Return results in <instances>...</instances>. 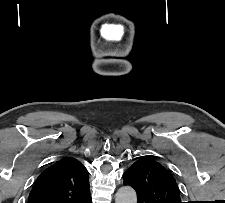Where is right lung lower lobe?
<instances>
[{"label": "right lung lower lobe", "instance_id": "98d812e1", "mask_svg": "<svg viewBox=\"0 0 225 203\" xmlns=\"http://www.w3.org/2000/svg\"><path fill=\"white\" fill-rule=\"evenodd\" d=\"M85 203H91V196H90L89 199H87V200L85 201Z\"/></svg>", "mask_w": 225, "mask_h": 203}]
</instances>
